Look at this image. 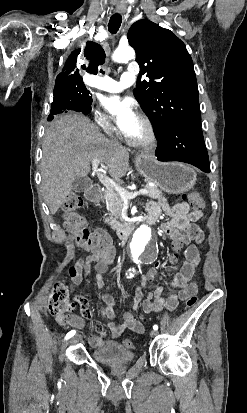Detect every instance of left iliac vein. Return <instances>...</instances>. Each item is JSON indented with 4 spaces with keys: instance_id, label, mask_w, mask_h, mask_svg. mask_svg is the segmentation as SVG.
<instances>
[{
    "instance_id": "4c4485c4",
    "label": "left iliac vein",
    "mask_w": 247,
    "mask_h": 413,
    "mask_svg": "<svg viewBox=\"0 0 247 413\" xmlns=\"http://www.w3.org/2000/svg\"><path fill=\"white\" fill-rule=\"evenodd\" d=\"M158 335V331H156V330H152L151 332H150V336L151 337H156Z\"/></svg>"
}]
</instances>
